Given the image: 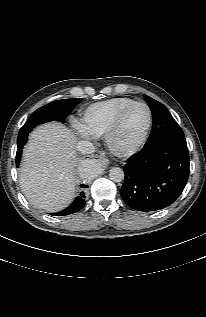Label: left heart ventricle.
<instances>
[{
    "label": "left heart ventricle",
    "mask_w": 206,
    "mask_h": 317,
    "mask_svg": "<svg viewBox=\"0 0 206 317\" xmlns=\"http://www.w3.org/2000/svg\"><path fill=\"white\" fill-rule=\"evenodd\" d=\"M147 124V111L143 105L131 107L125 114L115 136V142L122 148L135 145L141 138Z\"/></svg>",
    "instance_id": "1"
}]
</instances>
